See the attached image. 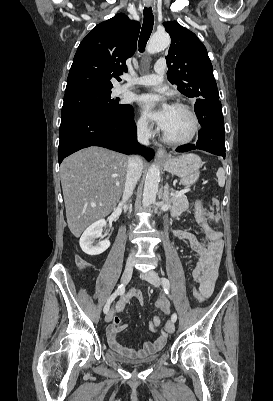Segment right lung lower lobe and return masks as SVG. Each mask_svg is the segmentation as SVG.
Masks as SVG:
<instances>
[{
	"instance_id": "1",
	"label": "right lung lower lobe",
	"mask_w": 273,
	"mask_h": 401,
	"mask_svg": "<svg viewBox=\"0 0 273 401\" xmlns=\"http://www.w3.org/2000/svg\"><path fill=\"white\" fill-rule=\"evenodd\" d=\"M58 161L89 146H101L124 154H142L151 160L154 151L141 147L136 138L134 111L130 107L125 117L116 118L97 113H76L61 118Z\"/></svg>"
}]
</instances>
